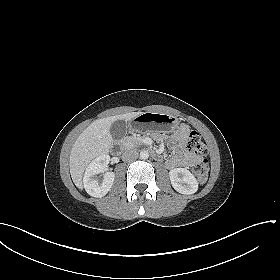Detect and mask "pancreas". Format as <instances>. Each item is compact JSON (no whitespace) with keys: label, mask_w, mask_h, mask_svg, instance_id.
<instances>
[{"label":"pancreas","mask_w":280,"mask_h":280,"mask_svg":"<svg viewBox=\"0 0 280 280\" xmlns=\"http://www.w3.org/2000/svg\"><path fill=\"white\" fill-rule=\"evenodd\" d=\"M141 144V140L138 139L137 137H127L125 140V146H129V147H134Z\"/></svg>","instance_id":"cf45deb5"}]
</instances>
